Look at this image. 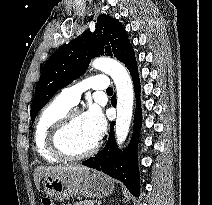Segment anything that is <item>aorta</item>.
Returning a JSON list of instances; mask_svg holds the SVG:
<instances>
[{
	"label": "aorta",
	"mask_w": 212,
	"mask_h": 205,
	"mask_svg": "<svg viewBox=\"0 0 212 205\" xmlns=\"http://www.w3.org/2000/svg\"><path fill=\"white\" fill-rule=\"evenodd\" d=\"M92 66L106 74L114 81L117 94V117L115 123V136L121 146L129 133L133 112V84L126 68L118 61L99 57L92 61Z\"/></svg>",
	"instance_id": "1"
}]
</instances>
